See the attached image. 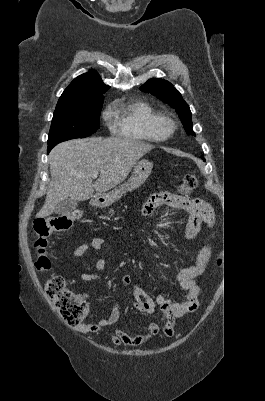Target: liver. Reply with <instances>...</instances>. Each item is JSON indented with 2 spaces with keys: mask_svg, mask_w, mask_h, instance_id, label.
<instances>
[{
  "mask_svg": "<svg viewBox=\"0 0 265 401\" xmlns=\"http://www.w3.org/2000/svg\"><path fill=\"white\" fill-rule=\"evenodd\" d=\"M154 148V144L132 138H74L60 142L52 148L48 160L51 182L45 203L36 217H49L56 205L65 198L87 201L96 194H107L128 176L132 166L141 156ZM102 170L96 182L93 172Z\"/></svg>",
  "mask_w": 265,
  "mask_h": 401,
  "instance_id": "6515ba94",
  "label": "liver"
}]
</instances>
